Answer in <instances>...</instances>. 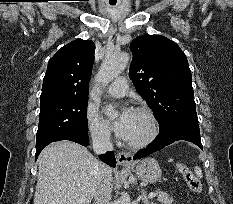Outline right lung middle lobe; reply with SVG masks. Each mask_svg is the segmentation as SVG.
<instances>
[{
  "instance_id": "obj_1",
  "label": "right lung middle lobe",
  "mask_w": 233,
  "mask_h": 204,
  "mask_svg": "<svg viewBox=\"0 0 233 204\" xmlns=\"http://www.w3.org/2000/svg\"><path fill=\"white\" fill-rule=\"evenodd\" d=\"M88 97L57 98L40 101L36 146L65 134L88 133Z\"/></svg>"
}]
</instances>
